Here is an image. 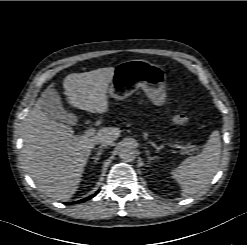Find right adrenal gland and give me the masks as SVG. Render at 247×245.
Listing matches in <instances>:
<instances>
[{
  "mask_svg": "<svg viewBox=\"0 0 247 245\" xmlns=\"http://www.w3.org/2000/svg\"><path fill=\"white\" fill-rule=\"evenodd\" d=\"M105 149V147L100 146L99 151L97 152L96 156H94L93 158L95 159L94 162L97 163L100 160V156L102 154V151Z\"/></svg>",
  "mask_w": 247,
  "mask_h": 245,
  "instance_id": "2a0ac1e0",
  "label": "right adrenal gland"
}]
</instances>
